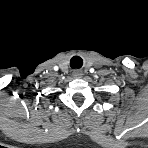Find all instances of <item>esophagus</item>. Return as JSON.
Instances as JSON below:
<instances>
[{"label":"esophagus","instance_id":"1","mask_svg":"<svg viewBox=\"0 0 148 148\" xmlns=\"http://www.w3.org/2000/svg\"><path fill=\"white\" fill-rule=\"evenodd\" d=\"M74 77H76V78H80L83 74H82V72L80 71V70H78V69H75L74 71H73V74H72Z\"/></svg>","mask_w":148,"mask_h":148}]
</instances>
